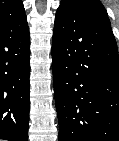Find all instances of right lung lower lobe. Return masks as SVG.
Masks as SVG:
<instances>
[{
    "label": "right lung lower lobe",
    "mask_w": 119,
    "mask_h": 141,
    "mask_svg": "<svg viewBox=\"0 0 119 141\" xmlns=\"http://www.w3.org/2000/svg\"><path fill=\"white\" fill-rule=\"evenodd\" d=\"M29 59L26 15L0 20V139L28 141Z\"/></svg>",
    "instance_id": "1"
}]
</instances>
